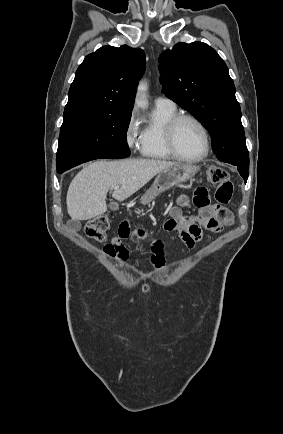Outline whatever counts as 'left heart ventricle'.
Listing matches in <instances>:
<instances>
[{"label":"left heart ventricle","instance_id":"left-heart-ventricle-1","mask_svg":"<svg viewBox=\"0 0 283 434\" xmlns=\"http://www.w3.org/2000/svg\"><path fill=\"white\" fill-rule=\"evenodd\" d=\"M178 151L188 157L200 155L204 150V140L198 126L189 120L181 121L175 131Z\"/></svg>","mask_w":283,"mask_h":434}]
</instances>
